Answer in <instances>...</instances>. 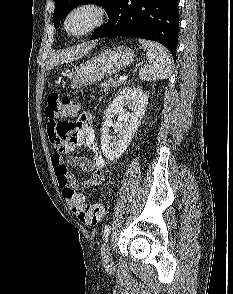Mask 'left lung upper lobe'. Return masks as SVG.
<instances>
[{
    "label": "left lung upper lobe",
    "mask_w": 233,
    "mask_h": 294,
    "mask_svg": "<svg viewBox=\"0 0 233 294\" xmlns=\"http://www.w3.org/2000/svg\"><path fill=\"white\" fill-rule=\"evenodd\" d=\"M117 0H55V10L53 21L55 28H58L59 22L76 6L94 3L101 5L108 15L113 10Z\"/></svg>",
    "instance_id": "left-lung-upper-lobe-1"
}]
</instances>
